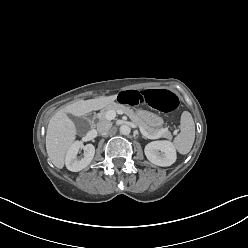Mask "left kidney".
<instances>
[{
	"label": "left kidney",
	"mask_w": 248,
	"mask_h": 248,
	"mask_svg": "<svg viewBox=\"0 0 248 248\" xmlns=\"http://www.w3.org/2000/svg\"><path fill=\"white\" fill-rule=\"evenodd\" d=\"M147 159L158 166L166 167L176 161V150L170 141H153L144 149Z\"/></svg>",
	"instance_id": "left-kidney-1"
}]
</instances>
